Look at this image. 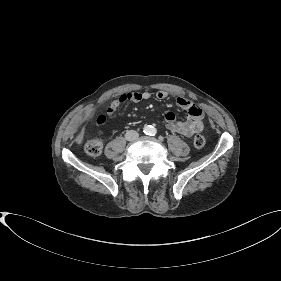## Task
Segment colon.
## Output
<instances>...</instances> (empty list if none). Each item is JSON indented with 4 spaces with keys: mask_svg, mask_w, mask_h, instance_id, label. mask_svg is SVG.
<instances>
[{
    "mask_svg": "<svg viewBox=\"0 0 281 281\" xmlns=\"http://www.w3.org/2000/svg\"><path fill=\"white\" fill-rule=\"evenodd\" d=\"M106 118L105 116H100L97 119V124L101 125L105 122ZM194 146L196 148H202L206 144V139L202 135H197L194 138ZM103 144L99 139H90L85 144V151L88 155L96 157L99 156L102 153Z\"/></svg>",
    "mask_w": 281,
    "mask_h": 281,
    "instance_id": "colon-1",
    "label": "colon"
}]
</instances>
